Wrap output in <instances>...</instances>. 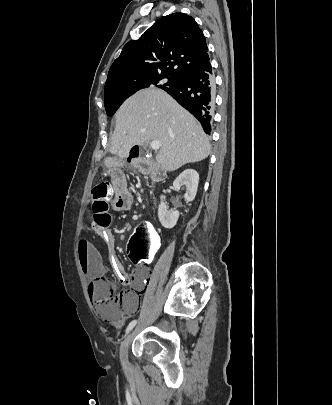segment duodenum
Returning <instances> with one entry per match:
<instances>
[{"label":"duodenum","instance_id":"obj_1","mask_svg":"<svg viewBox=\"0 0 332 405\" xmlns=\"http://www.w3.org/2000/svg\"><path fill=\"white\" fill-rule=\"evenodd\" d=\"M140 156H141V153L139 152V150H137V151L131 150L129 157H128V161L133 162V161L139 159ZM150 177H151L152 181H154V182H162L165 179L164 174H162L161 172H158L157 170H151Z\"/></svg>","mask_w":332,"mask_h":405}]
</instances>
